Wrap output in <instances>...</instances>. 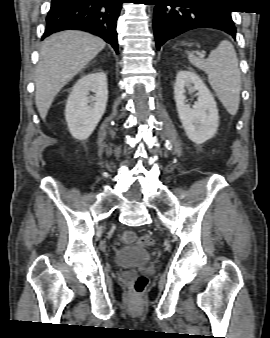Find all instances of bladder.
<instances>
[{
  "instance_id": "bladder-1",
  "label": "bladder",
  "mask_w": 270,
  "mask_h": 338,
  "mask_svg": "<svg viewBox=\"0 0 270 338\" xmlns=\"http://www.w3.org/2000/svg\"><path fill=\"white\" fill-rule=\"evenodd\" d=\"M152 261L150 250L139 245H124L114 257V264L123 267L142 266Z\"/></svg>"
}]
</instances>
